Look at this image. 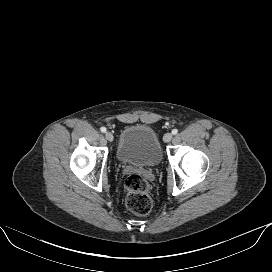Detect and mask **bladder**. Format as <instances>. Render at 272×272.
Wrapping results in <instances>:
<instances>
[{
	"mask_svg": "<svg viewBox=\"0 0 272 272\" xmlns=\"http://www.w3.org/2000/svg\"><path fill=\"white\" fill-rule=\"evenodd\" d=\"M117 158L133 166H157L162 159V148L156 132L147 125L126 127L120 135Z\"/></svg>",
	"mask_w": 272,
	"mask_h": 272,
	"instance_id": "1",
	"label": "bladder"
}]
</instances>
